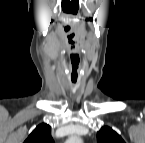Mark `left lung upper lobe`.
<instances>
[{
	"label": "left lung upper lobe",
	"instance_id": "1",
	"mask_svg": "<svg viewBox=\"0 0 145 143\" xmlns=\"http://www.w3.org/2000/svg\"><path fill=\"white\" fill-rule=\"evenodd\" d=\"M98 143H124L120 135H118L110 127H103L97 133Z\"/></svg>",
	"mask_w": 145,
	"mask_h": 143
}]
</instances>
